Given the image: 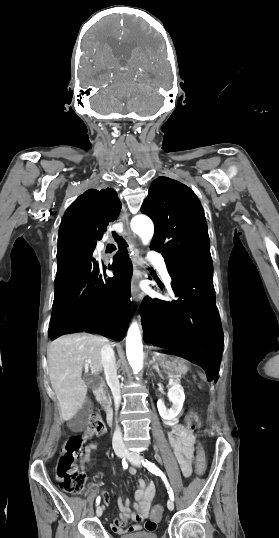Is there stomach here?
<instances>
[{
  "label": "stomach",
  "instance_id": "stomach-1",
  "mask_svg": "<svg viewBox=\"0 0 279 538\" xmlns=\"http://www.w3.org/2000/svg\"><path fill=\"white\" fill-rule=\"evenodd\" d=\"M153 358L161 364L162 368L169 370L172 374H184L186 367L184 359L180 358L179 353H160L154 352Z\"/></svg>",
  "mask_w": 279,
  "mask_h": 538
}]
</instances>
